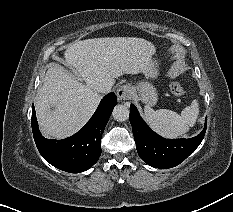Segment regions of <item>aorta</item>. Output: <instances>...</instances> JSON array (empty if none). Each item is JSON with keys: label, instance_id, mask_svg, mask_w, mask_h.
Masks as SVG:
<instances>
[{"label": "aorta", "instance_id": "aorta-1", "mask_svg": "<svg viewBox=\"0 0 233 212\" xmlns=\"http://www.w3.org/2000/svg\"><path fill=\"white\" fill-rule=\"evenodd\" d=\"M112 115L116 121H126L129 117V108L125 105H117L115 106Z\"/></svg>", "mask_w": 233, "mask_h": 212}]
</instances>
